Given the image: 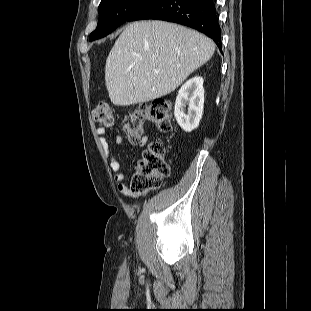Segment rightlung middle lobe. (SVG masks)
Here are the masks:
<instances>
[{
	"mask_svg": "<svg viewBox=\"0 0 311 311\" xmlns=\"http://www.w3.org/2000/svg\"><path fill=\"white\" fill-rule=\"evenodd\" d=\"M153 0H102L99 5V21L95 31L90 34L89 41L102 38L122 23L126 22L134 13L145 7Z\"/></svg>",
	"mask_w": 311,
	"mask_h": 311,
	"instance_id": "dd1d6c3e",
	"label": "right lung middle lobe"
}]
</instances>
